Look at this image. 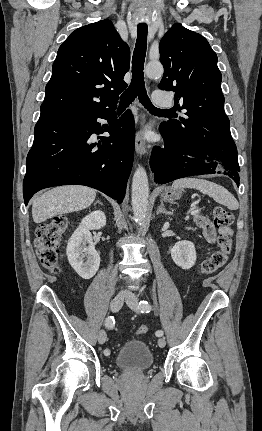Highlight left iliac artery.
<instances>
[{"instance_id": "obj_1", "label": "left iliac artery", "mask_w": 262, "mask_h": 431, "mask_svg": "<svg viewBox=\"0 0 262 431\" xmlns=\"http://www.w3.org/2000/svg\"><path fill=\"white\" fill-rule=\"evenodd\" d=\"M139 307H140V309H141V312H146V313H148V312H150V310H151V305L149 304V302L148 301H146V300H141L140 301V303H139ZM156 336H158V337H160V336H163V331L162 330H158V331H156Z\"/></svg>"}]
</instances>
